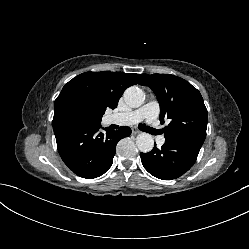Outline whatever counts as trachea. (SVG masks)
Here are the masks:
<instances>
[{
  "label": "trachea",
  "mask_w": 249,
  "mask_h": 249,
  "mask_svg": "<svg viewBox=\"0 0 249 249\" xmlns=\"http://www.w3.org/2000/svg\"><path fill=\"white\" fill-rule=\"evenodd\" d=\"M139 129L144 131V132H150L151 131V128H149L148 126H145L144 124H140Z\"/></svg>",
  "instance_id": "obj_1"
}]
</instances>
